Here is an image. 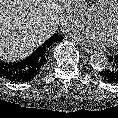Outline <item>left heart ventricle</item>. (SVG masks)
<instances>
[{
    "label": "left heart ventricle",
    "mask_w": 118,
    "mask_h": 118,
    "mask_svg": "<svg viewBox=\"0 0 118 118\" xmlns=\"http://www.w3.org/2000/svg\"><path fill=\"white\" fill-rule=\"evenodd\" d=\"M93 22L105 31L110 43H118V3L115 4L111 13L97 14L93 18Z\"/></svg>",
    "instance_id": "1"
}]
</instances>
